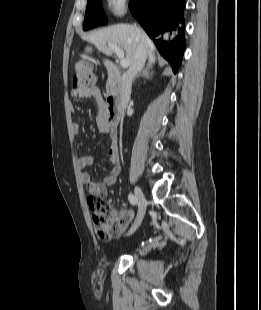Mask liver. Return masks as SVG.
I'll list each match as a JSON object with an SVG mask.
<instances>
[{"label": "liver", "instance_id": "6515ba94", "mask_svg": "<svg viewBox=\"0 0 261 310\" xmlns=\"http://www.w3.org/2000/svg\"><path fill=\"white\" fill-rule=\"evenodd\" d=\"M86 41L94 44L97 49L105 55L111 56L113 50L110 49L107 44L113 43L124 49L126 59L129 61V65L134 60L137 46L143 40L146 45L147 57L149 63L153 65L155 63V46L149 37L138 27L129 24L113 25L99 31L93 32L90 35L83 37Z\"/></svg>", "mask_w": 261, "mask_h": 310}]
</instances>
